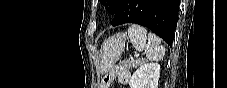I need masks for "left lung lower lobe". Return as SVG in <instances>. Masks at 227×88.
Returning a JSON list of instances; mask_svg holds the SVG:
<instances>
[{"label":"left lung lower lobe","instance_id":"1","mask_svg":"<svg viewBox=\"0 0 227 88\" xmlns=\"http://www.w3.org/2000/svg\"><path fill=\"white\" fill-rule=\"evenodd\" d=\"M180 0H121L111 25L136 23L154 31L172 46Z\"/></svg>","mask_w":227,"mask_h":88}]
</instances>
